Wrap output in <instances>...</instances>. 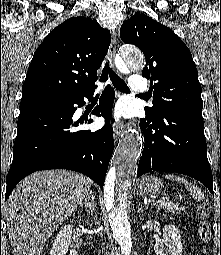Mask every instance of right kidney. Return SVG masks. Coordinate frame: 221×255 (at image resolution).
<instances>
[{
  "label": "right kidney",
  "instance_id": "ca27d5eb",
  "mask_svg": "<svg viewBox=\"0 0 221 255\" xmlns=\"http://www.w3.org/2000/svg\"><path fill=\"white\" fill-rule=\"evenodd\" d=\"M73 225L68 224L61 228L58 232L50 250V255H78L74 249H69L68 245L71 241Z\"/></svg>",
  "mask_w": 221,
  "mask_h": 255
}]
</instances>
